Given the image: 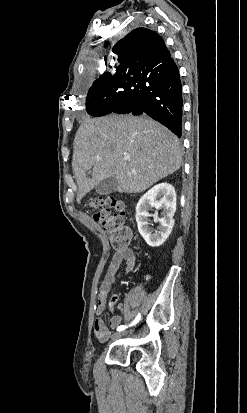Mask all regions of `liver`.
I'll return each mask as SVG.
<instances>
[{"label":"liver","instance_id":"6515ba94","mask_svg":"<svg viewBox=\"0 0 247 413\" xmlns=\"http://www.w3.org/2000/svg\"><path fill=\"white\" fill-rule=\"evenodd\" d=\"M179 138L143 116L108 114L84 118L74 138L72 168L77 202L100 180L116 176L118 192H143L181 166ZM92 168L89 178L86 170Z\"/></svg>","mask_w":247,"mask_h":413}]
</instances>
